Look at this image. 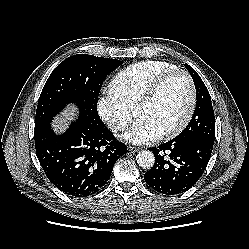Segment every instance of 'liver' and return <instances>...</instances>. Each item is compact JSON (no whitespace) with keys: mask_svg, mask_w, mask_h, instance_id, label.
Returning a JSON list of instances; mask_svg holds the SVG:
<instances>
[{"mask_svg":"<svg viewBox=\"0 0 249 249\" xmlns=\"http://www.w3.org/2000/svg\"><path fill=\"white\" fill-rule=\"evenodd\" d=\"M75 112H76V109L72 106V109L69 110L68 113H66V114H70V115L74 116ZM66 122H67V116L64 119L57 120L54 124L55 129L58 130V129L66 128V126H65Z\"/></svg>","mask_w":249,"mask_h":249,"instance_id":"obj_1","label":"liver"}]
</instances>
